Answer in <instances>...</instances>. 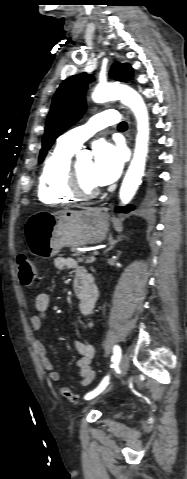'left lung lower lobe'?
<instances>
[{"label": "left lung lower lobe", "instance_id": "1", "mask_svg": "<svg viewBox=\"0 0 187 479\" xmlns=\"http://www.w3.org/2000/svg\"><path fill=\"white\" fill-rule=\"evenodd\" d=\"M133 209H134V207H133L132 205H128V206L122 207V208H121V207H117V208H116V212L127 213V212H129V211H131V210H133Z\"/></svg>", "mask_w": 187, "mask_h": 479}]
</instances>
